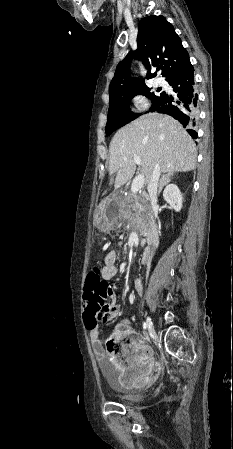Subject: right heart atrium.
Segmentation results:
<instances>
[{"label":"right heart atrium","mask_w":233,"mask_h":449,"mask_svg":"<svg viewBox=\"0 0 233 449\" xmlns=\"http://www.w3.org/2000/svg\"><path fill=\"white\" fill-rule=\"evenodd\" d=\"M131 102L135 113H142L149 108V101L147 97L140 92L132 94Z\"/></svg>","instance_id":"1"}]
</instances>
